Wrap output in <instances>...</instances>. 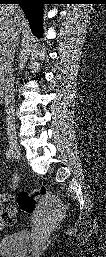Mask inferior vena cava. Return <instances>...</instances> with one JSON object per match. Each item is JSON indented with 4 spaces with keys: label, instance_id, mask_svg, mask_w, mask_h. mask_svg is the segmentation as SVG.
<instances>
[{
    "label": "inferior vena cava",
    "instance_id": "1",
    "mask_svg": "<svg viewBox=\"0 0 106 257\" xmlns=\"http://www.w3.org/2000/svg\"><path fill=\"white\" fill-rule=\"evenodd\" d=\"M21 27L17 24L12 25L10 30L2 43L0 50V77L4 90V103L6 108V124L7 130H12L14 124V79L12 64L14 60L15 49L18 46Z\"/></svg>",
    "mask_w": 106,
    "mask_h": 257
}]
</instances>
